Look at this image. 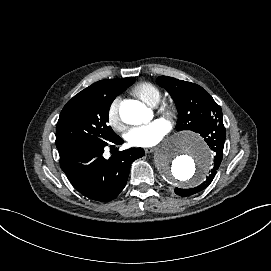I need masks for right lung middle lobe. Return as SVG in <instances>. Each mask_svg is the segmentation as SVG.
Masks as SVG:
<instances>
[{
	"mask_svg": "<svg viewBox=\"0 0 271 271\" xmlns=\"http://www.w3.org/2000/svg\"><path fill=\"white\" fill-rule=\"evenodd\" d=\"M135 81L134 77L98 81L67 102L56 126V147L80 140H111L108 122L111 103Z\"/></svg>",
	"mask_w": 271,
	"mask_h": 271,
	"instance_id": "1",
	"label": "right lung middle lobe"
}]
</instances>
